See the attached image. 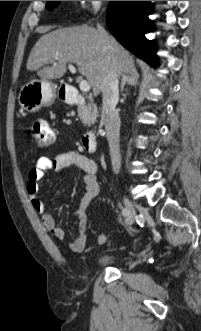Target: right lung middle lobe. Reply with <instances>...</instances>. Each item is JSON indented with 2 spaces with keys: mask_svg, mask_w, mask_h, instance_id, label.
<instances>
[{
  "mask_svg": "<svg viewBox=\"0 0 201 331\" xmlns=\"http://www.w3.org/2000/svg\"><path fill=\"white\" fill-rule=\"evenodd\" d=\"M59 1H47L46 2V9L50 10L52 9L55 5H57Z\"/></svg>",
  "mask_w": 201,
  "mask_h": 331,
  "instance_id": "obj_1",
  "label": "right lung middle lobe"
}]
</instances>
